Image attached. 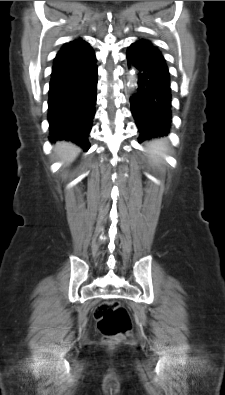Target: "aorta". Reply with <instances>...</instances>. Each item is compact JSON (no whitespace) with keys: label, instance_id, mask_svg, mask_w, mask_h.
<instances>
[{"label":"aorta","instance_id":"obj_1","mask_svg":"<svg viewBox=\"0 0 225 395\" xmlns=\"http://www.w3.org/2000/svg\"><path fill=\"white\" fill-rule=\"evenodd\" d=\"M128 84L132 90H134L137 87V79L134 70L130 71Z\"/></svg>","mask_w":225,"mask_h":395}]
</instances>
